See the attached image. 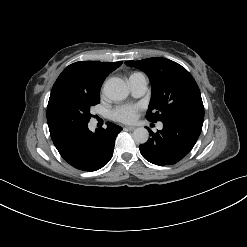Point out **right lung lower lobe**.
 I'll use <instances>...</instances> for the list:
<instances>
[{
	"label": "right lung lower lobe",
	"instance_id": "obj_1",
	"mask_svg": "<svg viewBox=\"0 0 247 247\" xmlns=\"http://www.w3.org/2000/svg\"><path fill=\"white\" fill-rule=\"evenodd\" d=\"M122 128L107 123L105 130L91 132L88 127L70 130L53 137V143L62 158L82 171H96L105 166L113 156L115 139Z\"/></svg>",
	"mask_w": 247,
	"mask_h": 247
}]
</instances>
